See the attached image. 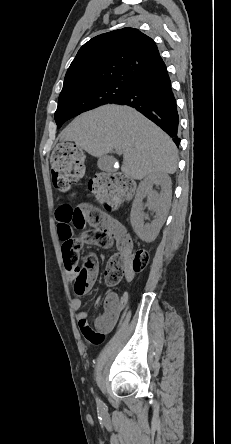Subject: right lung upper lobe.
I'll return each instance as SVG.
<instances>
[{
  "label": "right lung upper lobe",
  "instance_id": "right-lung-upper-lobe-1",
  "mask_svg": "<svg viewBox=\"0 0 231 444\" xmlns=\"http://www.w3.org/2000/svg\"><path fill=\"white\" fill-rule=\"evenodd\" d=\"M166 70L150 37L123 28L98 35L80 48L65 75L62 92L108 83L132 86Z\"/></svg>",
  "mask_w": 231,
  "mask_h": 444
}]
</instances>
